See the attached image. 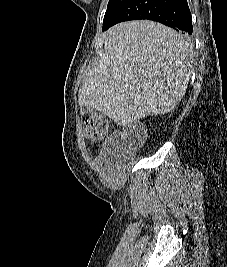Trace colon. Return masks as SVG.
<instances>
[{
	"instance_id": "1",
	"label": "colon",
	"mask_w": 227,
	"mask_h": 267,
	"mask_svg": "<svg viewBox=\"0 0 227 267\" xmlns=\"http://www.w3.org/2000/svg\"><path fill=\"white\" fill-rule=\"evenodd\" d=\"M109 123L102 114H94L85 118L83 123V134L91 140H101L108 134ZM146 131L136 125L125 128L119 139L123 142L127 151L133 152L140 149L146 141Z\"/></svg>"
}]
</instances>
